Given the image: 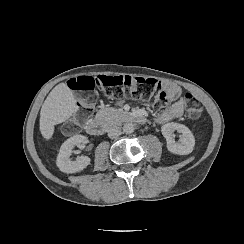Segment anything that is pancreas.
Segmentation results:
<instances>
[{
	"instance_id": "1",
	"label": "pancreas",
	"mask_w": 244,
	"mask_h": 244,
	"mask_svg": "<svg viewBox=\"0 0 244 244\" xmlns=\"http://www.w3.org/2000/svg\"><path fill=\"white\" fill-rule=\"evenodd\" d=\"M126 114L127 113L124 112L122 109L109 107L100 109L97 112L95 118L103 119L105 121H112L113 123H120Z\"/></svg>"
}]
</instances>
